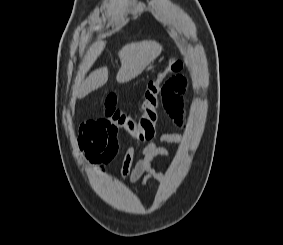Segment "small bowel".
<instances>
[{
    "label": "small bowel",
    "instance_id": "small-bowel-1",
    "mask_svg": "<svg viewBox=\"0 0 283 245\" xmlns=\"http://www.w3.org/2000/svg\"><path fill=\"white\" fill-rule=\"evenodd\" d=\"M186 87L187 81L182 74H175L166 79L162 86V107L180 126L183 124V94ZM181 140L182 135L179 133H164L158 139L161 143H179ZM78 146L91 164L98 170H104L119 153L121 147L119 132L103 119L88 121L80 127ZM158 156H169V151L155 141L149 142L141 149L136 161L135 147L127 146L122 159L121 179L129 183L140 181L143 187L151 181H165L169 171H158L152 165L153 159Z\"/></svg>",
    "mask_w": 283,
    "mask_h": 245
}]
</instances>
